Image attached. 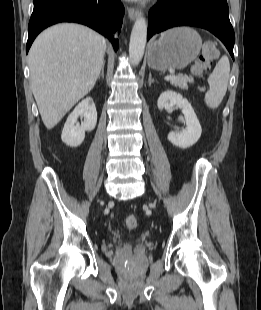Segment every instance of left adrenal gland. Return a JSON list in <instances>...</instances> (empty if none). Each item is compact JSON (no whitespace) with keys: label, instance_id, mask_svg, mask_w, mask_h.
<instances>
[{"label":"left adrenal gland","instance_id":"left-adrenal-gland-1","mask_svg":"<svg viewBox=\"0 0 261 310\" xmlns=\"http://www.w3.org/2000/svg\"><path fill=\"white\" fill-rule=\"evenodd\" d=\"M154 82H157V81L154 80V79L152 78L151 73H149V78H148V84H149V86H151V84L154 83Z\"/></svg>","mask_w":261,"mask_h":310}]
</instances>
